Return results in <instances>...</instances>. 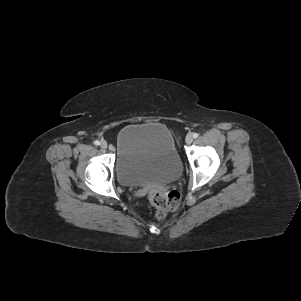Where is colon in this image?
Segmentation results:
<instances>
[{
    "instance_id": "colon-1",
    "label": "colon",
    "mask_w": 301,
    "mask_h": 301,
    "mask_svg": "<svg viewBox=\"0 0 301 301\" xmlns=\"http://www.w3.org/2000/svg\"><path fill=\"white\" fill-rule=\"evenodd\" d=\"M148 198L156 209V217L164 219L169 212L179 206L181 196L177 190L163 192L158 189H151L148 193Z\"/></svg>"
}]
</instances>
